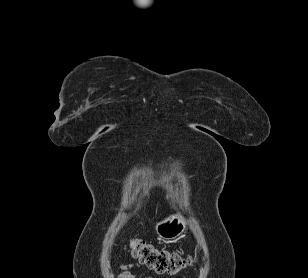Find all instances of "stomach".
Instances as JSON below:
<instances>
[{"instance_id":"1","label":"stomach","mask_w":308,"mask_h":278,"mask_svg":"<svg viewBox=\"0 0 308 278\" xmlns=\"http://www.w3.org/2000/svg\"><path fill=\"white\" fill-rule=\"evenodd\" d=\"M187 220L180 214L171 215L156 223V233L165 240H174L186 230Z\"/></svg>"}]
</instances>
